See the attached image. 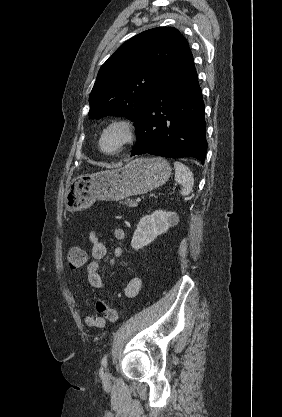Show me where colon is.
<instances>
[{"instance_id":"5ec220e1","label":"colon","mask_w":282,"mask_h":417,"mask_svg":"<svg viewBox=\"0 0 282 417\" xmlns=\"http://www.w3.org/2000/svg\"><path fill=\"white\" fill-rule=\"evenodd\" d=\"M67 260L69 266L73 270H76L86 263L87 255L81 248L75 247L70 249L67 253ZM95 307L97 312L101 315H104V317L108 319L110 322H115L117 320L118 315L115 308H113L110 305H107L102 300H97Z\"/></svg>"}]
</instances>
